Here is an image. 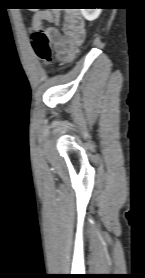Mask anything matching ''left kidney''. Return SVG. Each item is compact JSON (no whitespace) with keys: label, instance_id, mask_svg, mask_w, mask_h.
Instances as JSON below:
<instances>
[{"label":"left kidney","instance_id":"1","mask_svg":"<svg viewBox=\"0 0 145 278\" xmlns=\"http://www.w3.org/2000/svg\"><path fill=\"white\" fill-rule=\"evenodd\" d=\"M102 9H81V13L85 19L88 21H93L97 19L101 13Z\"/></svg>","mask_w":145,"mask_h":278}]
</instances>
